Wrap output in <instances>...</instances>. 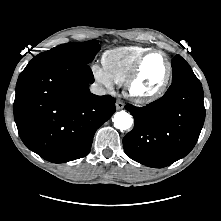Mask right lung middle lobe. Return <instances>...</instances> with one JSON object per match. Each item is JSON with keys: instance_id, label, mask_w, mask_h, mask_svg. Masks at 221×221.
Segmentation results:
<instances>
[{"instance_id": "dd1d6c3e", "label": "right lung middle lobe", "mask_w": 221, "mask_h": 221, "mask_svg": "<svg viewBox=\"0 0 221 221\" xmlns=\"http://www.w3.org/2000/svg\"><path fill=\"white\" fill-rule=\"evenodd\" d=\"M100 50L97 40L83 43H67L40 53L32 60H62L89 64Z\"/></svg>"}]
</instances>
